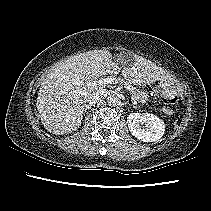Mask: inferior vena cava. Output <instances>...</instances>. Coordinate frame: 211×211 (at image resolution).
<instances>
[{"label": "inferior vena cava", "instance_id": "obj_1", "mask_svg": "<svg viewBox=\"0 0 211 211\" xmlns=\"http://www.w3.org/2000/svg\"><path fill=\"white\" fill-rule=\"evenodd\" d=\"M106 95H107V92H106L105 89L98 90L95 93H93L90 96H88L86 101L89 104H96V103L100 102Z\"/></svg>", "mask_w": 211, "mask_h": 211}]
</instances>
